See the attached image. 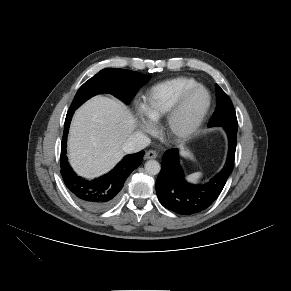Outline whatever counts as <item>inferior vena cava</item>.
<instances>
[{
	"mask_svg": "<svg viewBox=\"0 0 291 291\" xmlns=\"http://www.w3.org/2000/svg\"><path fill=\"white\" fill-rule=\"evenodd\" d=\"M150 144V139L141 132H134L125 141L122 149L125 153H135L141 151Z\"/></svg>",
	"mask_w": 291,
	"mask_h": 291,
	"instance_id": "1",
	"label": "inferior vena cava"
}]
</instances>
